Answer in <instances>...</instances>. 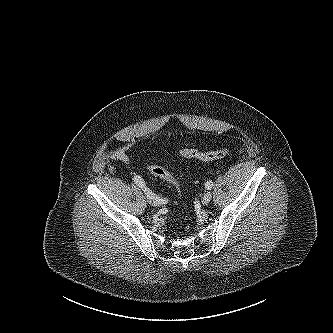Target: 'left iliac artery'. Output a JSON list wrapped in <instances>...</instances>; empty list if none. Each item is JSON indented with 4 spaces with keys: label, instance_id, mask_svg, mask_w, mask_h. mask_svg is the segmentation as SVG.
<instances>
[{
    "label": "left iliac artery",
    "instance_id": "1",
    "mask_svg": "<svg viewBox=\"0 0 333 333\" xmlns=\"http://www.w3.org/2000/svg\"><path fill=\"white\" fill-rule=\"evenodd\" d=\"M212 187H213V182L212 181H207L206 184H205V188L210 190V189H212Z\"/></svg>",
    "mask_w": 333,
    "mask_h": 333
}]
</instances>
